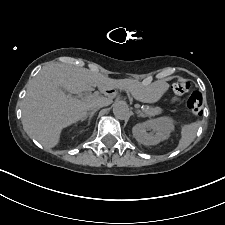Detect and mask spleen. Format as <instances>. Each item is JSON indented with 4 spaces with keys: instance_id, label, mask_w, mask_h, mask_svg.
<instances>
[{
    "instance_id": "obj_1",
    "label": "spleen",
    "mask_w": 225,
    "mask_h": 225,
    "mask_svg": "<svg viewBox=\"0 0 225 225\" xmlns=\"http://www.w3.org/2000/svg\"><path fill=\"white\" fill-rule=\"evenodd\" d=\"M199 126L200 122L197 121L181 127V137L177 146L178 149H185L193 142Z\"/></svg>"
}]
</instances>
